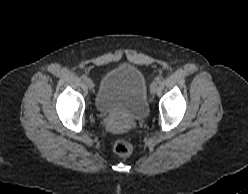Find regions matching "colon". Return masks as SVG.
Returning <instances> with one entry per match:
<instances>
[{
  "mask_svg": "<svg viewBox=\"0 0 248 194\" xmlns=\"http://www.w3.org/2000/svg\"><path fill=\"white\" fill-rule=\"evenodd\" d=\"M113 149L117 155L125 157L132 153L133 146L127 140H117L114 143Z\"/></svg>",
  "mask_w": 248,
  "mask_h": 194,
  "instance_id": "1",
  "label": "colon"
}]
</instances>
